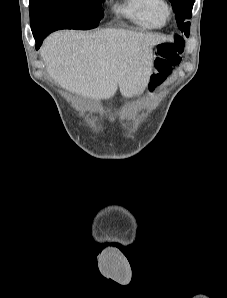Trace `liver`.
Listing matches in <instances>:
<instances>
[{"label": "liver", "instance_id": "1", "mask_svg": "<svg viewBox=\"0 0 227 298\" xmlns=\"http://www.w3.org/2000/svg\"><path fill=\"white\" fill-rule=\"evenodd\" d=\"M169 40L124 29L63 30L45 40L40 53L49 75L63 88L96 100L110 99L118 87L139 96L153 72V47Z\"/></svg>", "mask_w": 227, "mask_h": 298}]
</instances>
